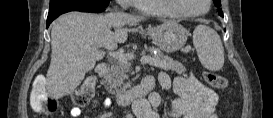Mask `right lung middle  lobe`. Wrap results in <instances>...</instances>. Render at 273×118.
Listing matches in <instances>:
<instances>
[{"label":"right lung middle lobe","instance_id":"obj_1","mask_svg":"<svg viewBox=\"0 0 273 118\" xmlns=\"http://www.w3.org/2000/svg\"><path fill=\"white\" fill-rule=\"evenodd\" d=\"M54 0H51L52 2ZM75 2L83 3V4H88V5H94V6H99L102 8H105L109 5L110 0H72Z\"/></svg>","mask_w":273,"mask_h":118}]
</instances>
